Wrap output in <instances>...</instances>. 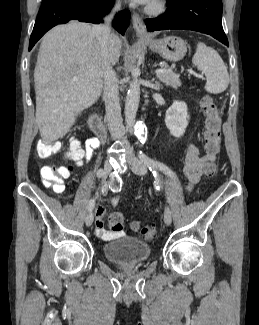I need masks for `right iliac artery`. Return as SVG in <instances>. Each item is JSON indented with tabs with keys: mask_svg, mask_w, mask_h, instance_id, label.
<instances>
[{
	"mask_svg": "<svg viewBox=\"0 0 259 325\" xmlns=\"http://www.w3.org/2000/svg\"><path fill=\"white\" fill-rule=\"evenodd\" d=\"M102 175H103V169H98L97 170V179L98 178H100V177H102ZM102 193H104V192H102ZM94 206H95V198H92L90 201H89V204H88V210L89 211H92L93 210V208H94Z\"/></svg>",
	"mask_w": 259,
	"mask_h": 325,
	"instance_id": "right-iliac-artery-1",
	"label": "right iliac artery"
}]
</instances>
